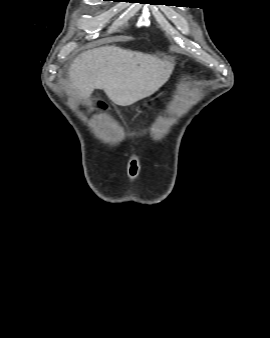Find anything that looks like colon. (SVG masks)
<instances>
[{
  "mask_svg": "<svg viewBox=\"0 0 270 338\" xmlns=\"http://www.w3.org/2000/svg\"><path fill=\"white\" fill-rule=\"evenodd\" d=\"M100 106H101V107H103V106H104V103H103V102H101V103H100Z\"/></svg>",
  "mask_w": 270,
  "mask_h": 338,
  "instance_id": "colon-1",
  "label": "colon"
}]
</instances>
